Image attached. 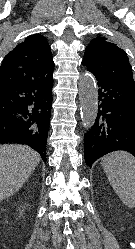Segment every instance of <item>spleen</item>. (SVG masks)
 <instances>
[{
  "mask_svg": "<svg viewBox=\"0 0 135 249\" xmlns=\"http://www.w3.org/2000/svg\"><path fill=\"white\" fill-rule=\"evenodd\" d=\"M102 165L122 203L135 208V158L127 152H115L105 156Z\"/></svg>",
  "mask_w": 135,
  "mask_h": 249,
  "instance_id": "obj_1",
  "label": "spleen"
}]
</instances>
